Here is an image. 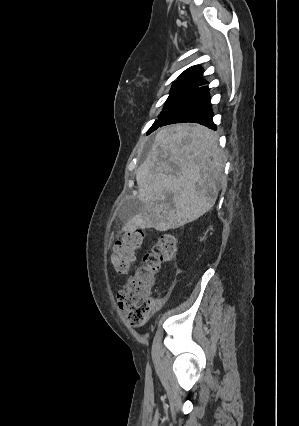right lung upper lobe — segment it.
Here are the masks:
<instances>
[{"label": "right lung upper lobe", "instance_id": "obj_1", "mask_svg": "<svg viewBox=\"0 0 299 426\" xmlns=\"http://www.w3.org/2000/svg\"><path fill=\"white\" fill-rule=\"evenodd\" d=\"M202 74V68L198 65L192 66L185 70L173 85H185L193 86L198 88L199 86L205 84L206 82L201 79L200 75Z\"/></svg>", "mask_w": 299, "mask_h": 426}]
</instances>
